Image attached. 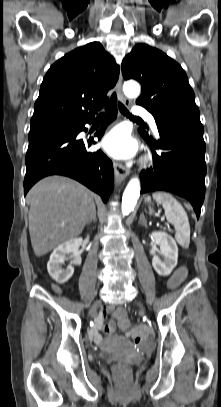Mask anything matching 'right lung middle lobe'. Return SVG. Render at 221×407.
I'll return each instance as SVG.
<instances>
[{"label":"right lung middle lobe","instance_id":"obj_1","mask_svg":"<svg viewBox=\"0 0 221 407\" xmlns=\"http://www.w3.org/2000/svg\"><path fill=\"white\" fill-rule=\"evenodd\" d=\"M69 126H70V124H52V125L40 126V127L31 128L29 134L36 133L39 131H44V130H53V129L64 128V127H69Z\"/></svg>","mask_w":221,"mask_h":407}]
</instances>
